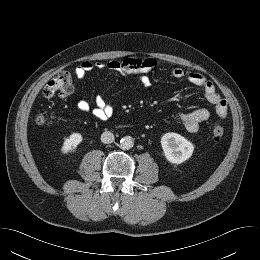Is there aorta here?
<instances>
[{
  "mask_svg": "<svg viewBox=\"0 0 260 260\" xmlns=\"http://www.w3.org/2000/svg\"><path fill=\"white\" fill-rule=\"evenodd\" d=\"M134 141L131 136H125L120 140V146L124 150H129L133 147Z\"/></svg>",
  "mask_w": 260,
  "mask_h": 260,
  "instance_id": "obj_1",
  "label": "aorta"
}]
</instances>
